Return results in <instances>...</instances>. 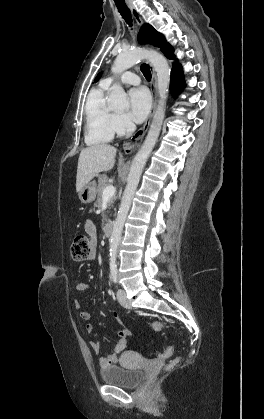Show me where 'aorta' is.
<instances>
[{"label":"aorta","mask_w":264,"mask_h":419,"mask_svg":"<svg viewBox=\"0 0 264 419\" xmlns=\"http://www.w3.org/2000/svg\"><path fill=\"white\" fill-rule=\"evenodd\" d=\"M142 59L148 60L156 72L158 104L147 137L141 149L137 152L132 161L130 173L128 175L127 186L122 196L119 211L114 222L109 250L111 268L116 267L117 249L121 240L123 226L127 218V214L129 212L131 202L139 183L143 168L157 142L162 127L165 116L166 99L169 90L170 67L165 57L156 51L133 50L127 53H120L114 61L112 72L114 74H119L137 64ZM108 106L109 108L115 110L128 106L126 93L123 87L118 83H115L111 87Z\"/></svg>","instance_id":"aorta-1"}]
</instances>
